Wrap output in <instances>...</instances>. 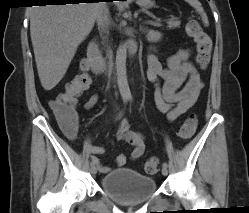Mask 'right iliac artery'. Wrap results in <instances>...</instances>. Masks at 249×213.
<instances>
[{"label": "right iliac artery", "instance_id": "obj_1", "mask_svg": "<svg viewBox=\"0 0 249 213\" xmlns=\"http://www.w3.org/2000/svg\"><path fill=\"white\" fill-rule=\"evenodd\" d=\"M96 163H97V161L92 160V162H91V166H94Z\"/></svg>", "mask_w": 249, "mask_h": 213}]
</instances>
